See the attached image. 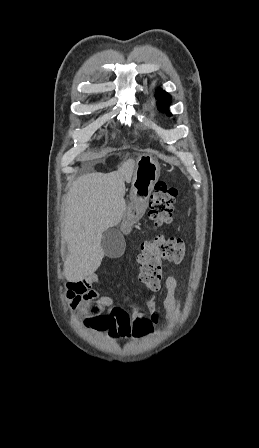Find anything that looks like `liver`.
<instances>
[{"mask_svg": "<svg viewBox=\"0 0 259 448\" xmlns=\"http://www.w3.org/2000/svg\"><path fill=\"white\" fill-rule=\"evenodd\" d=\"M133 168L134 160H127L111 174H84L70 188L64 214L68 282H81L98 270L104 258L103 234L120 224L126 210L125 182H130Z\"/></svg>", "mask_w": 259, "mask_h": 448, "instance_id": "obj_1", "label": "liver"}]
</instances>
